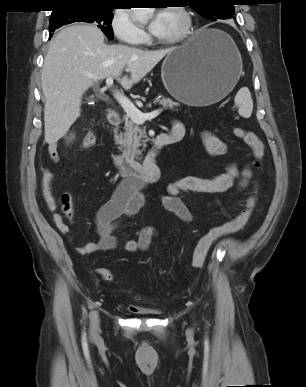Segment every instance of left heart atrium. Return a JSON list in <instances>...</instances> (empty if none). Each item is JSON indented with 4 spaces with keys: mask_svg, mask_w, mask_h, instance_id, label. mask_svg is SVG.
<instances>
[{
    "mask_svg": "<svg viewBox=\"0 0 306 387\" xmlns=\"http://www.w3.org/2000/svg\"><path fill=\"white\" fill-rule=\"evenodd\" d=\"M162 29H163V13L159 12L151 20L149 24V30L153 35L158 36L161 33Z\"/></svg>",
    "mask_w": 306,
    "mask_h": 387,
    "instance_id": "39dd6f15",
    "label": "left heart atrium"
}]
</instances>
